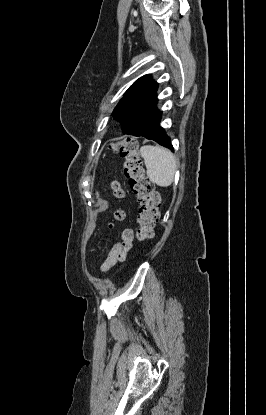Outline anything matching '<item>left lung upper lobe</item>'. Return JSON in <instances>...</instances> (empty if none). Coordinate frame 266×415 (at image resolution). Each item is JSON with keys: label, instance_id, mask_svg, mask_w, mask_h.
<instances>
[{"label": "left lung upper lobe", "instance_id": "left-lung-upper-lobe-1", "mask_svg": "<svg viewBox=\"0 0 266 415\" xmlns=\"http://www.w3.org/2000/svg\"><path fill=\"white\" fill-rule=\"evenodd\" d=\"M157 88L158 84L148 74L136 80L125 92L113 111L114 118L122 124L124 134L139 136L160 127Z\"/></svg>", "mask_w": 266, "mask_h": 415}]
</instances>
